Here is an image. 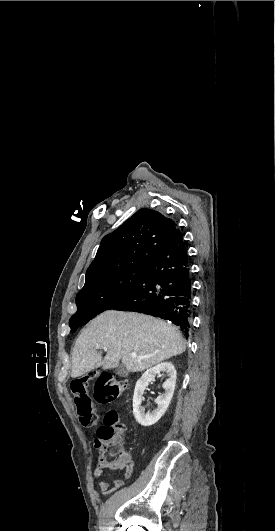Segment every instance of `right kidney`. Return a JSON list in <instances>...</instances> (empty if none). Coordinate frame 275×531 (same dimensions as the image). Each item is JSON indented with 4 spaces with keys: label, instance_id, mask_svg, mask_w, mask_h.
Segmentation results:
<instances>
[{
    "label": "right kidney",
    "instance_id": "right-kidney-1",
    "mask_svg": "<svg viewBox=\"0 0 275 531\" xmlns=\"http://www.w3.org/2000/svg\"><path fill=\"white\" fill-rule=\"evenodd\" d=\"M161 371L167 373L169 377V379H166L165 383H163L165 395H161V397H157V399H155V403L158 405L155 411H152V413H149V411L148 413H144V409L141 407V403L143 401L142 395L149 383H151V381H155V375H157V373H161ZM175 385L176 371L172 363H160V365L151 367V369H148V371L143 373L142 377L138 379L135 385L133 395V415L139 425H142V427H151V425H155V423L161 419L167 407L170 405V401L175 391Z\"/></svg>",
    "mask_w": 275,
    "mask_h": 531
}]
</instances>
